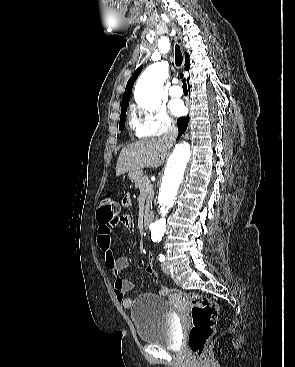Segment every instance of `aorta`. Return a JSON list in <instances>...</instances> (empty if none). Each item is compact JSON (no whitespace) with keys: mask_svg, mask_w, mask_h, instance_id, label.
<instances>
[{"mask_svg":"<svg viewBox=\"0 0 295 367\" xmlns=\"http://www.w3.org/2000/svg\"><path fill=\"white\" fill-rule=\"evenodd\" d=\"M166 74L164 63H154L142 73L135 88V100L140 107L148 111L158 109ZM190 159V146L187 143H179L167 161L158 194L159 212L162 217L150 225L153 241H160L165 233V216L185 184Z\"/></svg>","mask_w":295,"mask_h":367,"instance_id":"obj_1","label":"aorta"}]
</instances>
